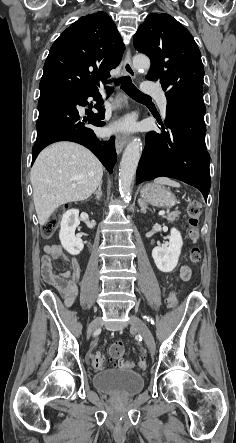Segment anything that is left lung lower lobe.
<instances>
[{
  "label": "left lung lower lobe",
  "instance_id": "obj_1",
  "mask_svg": "<svg viewBox=\"0 0 236 443\" xmlns=\"http://www.w3.org/2000/svg\"><path fill=\"white\" fill-rule=\"evenodd\" d=\"M167 97L162 131L146 134L136 184L166 176L198 188L205 200L210 190V155L205 147L206 111L202 92L182 91Z\"/></svg>",
  "mask_w": 236,
  "mask_h": 443
}]
</instances>
